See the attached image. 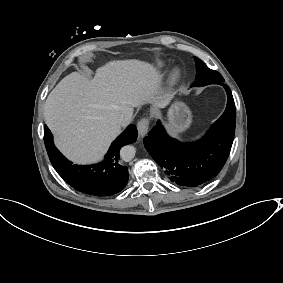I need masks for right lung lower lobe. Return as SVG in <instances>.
Masks as SVG:
<instances>
[{"label": "right lung lower lobe", "mask_w": 283, "mask_h": 283, "mask_svg": "<svg viewBox=\"0 0 283 283\" xmlns=\"http://www.w3.org/2000/svg\"><path fill=\"white\" fill-rule=\"evenodd\" d=\"M137 139V128L130 125L112 143L105 159L92 165H75L55 147L53 135L45 125L44 142L49 159L58 174L74 189L94 196H109L120 192L128 182V168L119 164L120 149Z\"/></svg>", "instance_id": "obj_1"}]
</instances>
